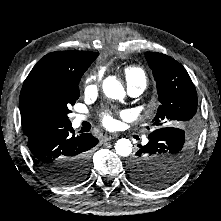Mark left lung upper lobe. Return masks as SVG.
<instances>
[{
	"label": "left lung upper lobe",
	"mask_w": 221,
	"mask_h": 221,
	"mask_svg": "<svg viewBox=\"0 0 221 221\" xmlns=\"http://www.w3.org/2000/svg\"><path fill=\"white\" fill-rule=\"evenodd\" d=\"M145 57L156 80L161 103L153 119L154 125L160 129L170 128L168 130L175 131L176 137L148 145L149 149L143 155L148 170L156 169L169 179H162L155 188L148 182V176L134 177L132 180L143 188L159 189L176 181L191 159L199 124L197 92L187 71L179 62L155 52H146ZM151 171H147V174H152Z\"/></svg>",
	"instance_id": "5c2ea615"
}]
</instances>
